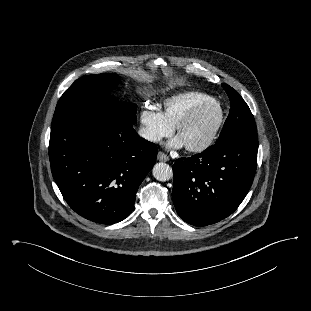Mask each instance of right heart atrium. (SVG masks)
<instances>
[{"label": "right heart atrium", "instance_id": "1", "mask_svg": "<svg viewBox=\"0 0 311 311\" xmlns=\"http://www.w3.org/2000/svg\"><path fill=\"white\" fill-rule=\"evenodd\" d=\"M140 123L143 137L152 143L159 142L173 131V127L164 119L162 114L150 107L141 111Z\"/></svg>", "mask_w": 311, "mask_h": 311}]
</instances>
